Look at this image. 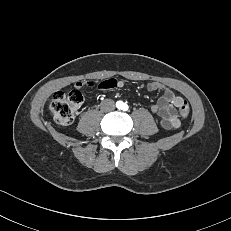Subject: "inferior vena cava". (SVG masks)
Listing matches in <instances>:
<instances>
[{
	"instance_id": "obj_1",
	"label": "inferior vena cava",
	"mask_w": 231,
	"mask_h": 231,
	"mask_svg": "<svg viewBox=\"0 0 231 231\" xmlns=\"http://www.w3.org/2000/svg\"><path fill=\"white\" fill-rule=\"evenodd\" d=\"M115 108L114 101L111 99H105L101 102V109L103 111L109 112L112 111Z\"/></svg>"
}]
</instances>
